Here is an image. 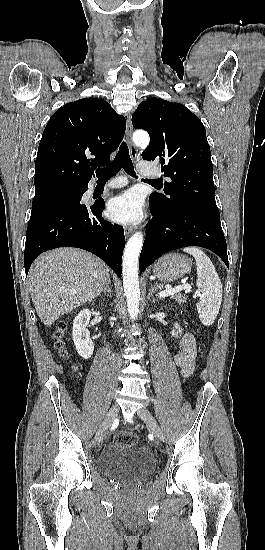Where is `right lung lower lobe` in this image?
Masks as SVG:
<instances>
[{"mask_svg":"<svg viewBox=\"0 0 265 550\" xmlns=\"http://www.w3.org/2000/svg\"><path fill=\"white\" fill-rule=\"evenodd\" d=\"M104 205L100 200L92 206L62 205L32 212L25 243L26 275L42 252L68 246L97 255L120 276L124 229L102 218Z\"/></svg>","mask_w":265,"mask_h":550,"instance_id":"right-lung-lower-lobe-1","label":"right lung lower lobe"}]
</instances>
